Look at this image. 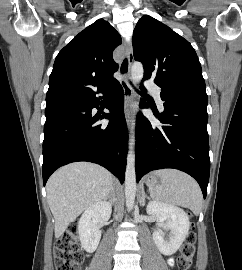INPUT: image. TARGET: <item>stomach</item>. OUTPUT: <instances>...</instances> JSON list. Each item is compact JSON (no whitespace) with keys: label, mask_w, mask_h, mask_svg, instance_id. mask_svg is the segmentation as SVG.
<instances>
[{"label":"stomach","mask_w":242,"mask_h":270,"mask_svg":"<svg viewBox=\"0 0 242 270\" xmlns=\"http://www.w3.org/2000/svg\"><path fill=\"white\" fill-rule=\"evenodd\" d=\"M146 185L152 190L159 185V179L155 173L149 175L146 179Z\"/></svg>","instance_id":"obj_1"}]
</instances>
